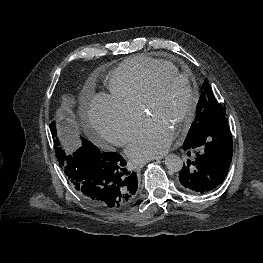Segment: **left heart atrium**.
<instances>
[{
    "label": "left heart atrium",
    "mask_w": 263,
    "mask_h": 263,
    "mask_svg": "<svg viewBox=\"0 0 263 263\" xmlns=\"http://www.w3.org/2000/svg\"><path fill=\"white\" fill-rule=\"evenodd\" d=\"M173 137L174 133L167 125L147 117L132 136L126 151L132 160L141 162L165 153Z\"/></svg>",
    "instance_id": "1"
}]
</instances>
